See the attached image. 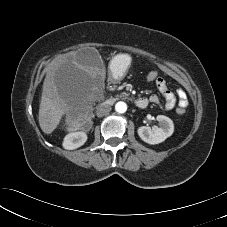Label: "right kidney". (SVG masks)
Wrapping results in <instances>:
<instances>
[{
	"instance_id": "obj_1",
	"label": "right kidney",
	"mask_w": 227,
	"mask_h": 227,
	"mask_svg": "<svg viewBox=\"0 0 227 227\" xmlns=\"http://www.w3.org/2000/svg\"><path fill=\"white\" fill-rule=\"evenodd\" d=\"M87 138V134L82 131L69 133L63 140V147L67 150L77 149L85 144Z\"/></svg>"
}]
</instances>
